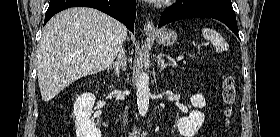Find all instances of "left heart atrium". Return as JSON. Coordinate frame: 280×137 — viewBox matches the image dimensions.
<instances>
[{
  "mask_svg": "<svg viewBox=\"0 0 280 137\" xmlns=\"http://www.w3.org/2000/svg\"><path fill=\"white\" fill-rule=\"evenodd\" d=\"M154 4L168 3L169 0H150Z\"/></svg>",
  "mask_w": 280,
  "mask_h": 137,
  "instance_id": "obj_1",
  "label": "left heart atrium"
}]
</instances>
